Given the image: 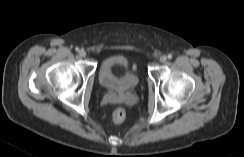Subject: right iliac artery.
I'll return each instance as SVG.
<instances>
[{"instance_id": "1", "label": "right iliac artery", "mask_w": 244, "mask_h": 157, "mask_svg": "<svg viewBox=\"0 0 244 157\" xmlns=\"http://www.w3.org/2000/svg\"><path fill=\"white\" fill-rule=\"evenodd\" d=\"M76 51H79V48H76Z\"/></svg>"}]
</instances>
